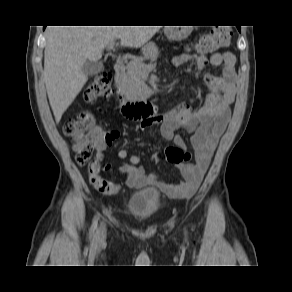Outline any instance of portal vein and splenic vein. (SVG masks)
Wrapping results in <instances>:
<instances>
[{
	"mask_svg": "<svg viewBox=\"0 0 292 292\" xmlns=\"http://www.w3.org/2000/svg\"><path fill=\"white\" fill-rule=\"evenodd\" d=\"M113 47H114V42H112V43H110V44L108 45V50H109V51L112 50ZM155 66H156L155 64L145 65V66H143V70H144V72H147V71H150V70L154 69Z\"/></svg>",
	"mask_w": 292,
	"mask_h": 292,
	"instance_id": "obj_1",
	"label": "portal vein and splenic vein"
}]
</instances>
